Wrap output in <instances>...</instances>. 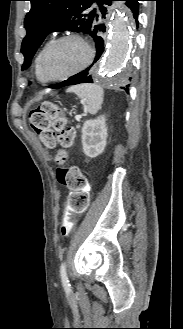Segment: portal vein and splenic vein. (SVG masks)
<instances>
[{
	"label": "portal vein and splenic vein",
	"instance_id": "1",
	"mask_svg": "<svg viewBox=\"0 0 183 329\" xmlns=\"http://www.w3.org/2000/svg\"><path fill=\"white\" fill-rule=\"evenodd\" d=\"M81 118H82L81 115H76V116H75V119H76L77 121H79Z\"/></svg>",
	"mask_w": 183,
	"mask_h": 329
}]
</instances>
